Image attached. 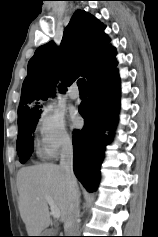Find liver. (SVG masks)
I'll list each match as a JSON object with an SVG mask.
<instances>
[{
	"label": "liver",
	"mask_w": 158,
	"mask_h": 237,
	"mask_svg": "<svg viewBox=\"0 0 158 237\" xmlns=\"http://www.w3.org/2000/svg\"><path fill=\"white\" fill-rule=\"evenodd\" d=\"M18 207L29 236H40L50 224L45 196H51L64 222L68 209V185L59 165L42 163L17 173Z\"/></svg>",
	"instance_id": "1"
}]
</instances>
